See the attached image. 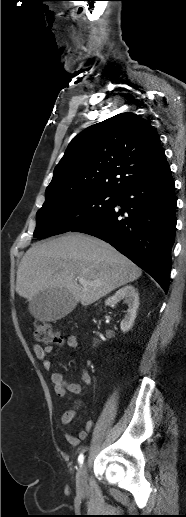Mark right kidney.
I'll list each match as a JSON object with an SVG mask.
<instances>
[{"label": "right kidney", "instance_id": "right-kidney-1", "mask_svg": "<svg viewBox=\"0 0 186 517\" xmlns=\"http://www.w3.org/2000/svg\"><path fill=\"white\" fill-rule=\"evenodd\" d=\"M123 300L128 305L126 315L121 321L120 328L123 332H128L133 326L136 318V311L139 306L138 292L132 285H127L116 291V293L105 301V305H114Z\"/></svg>", "mask_w": 186, "mask_h": 517}]
</instances>
